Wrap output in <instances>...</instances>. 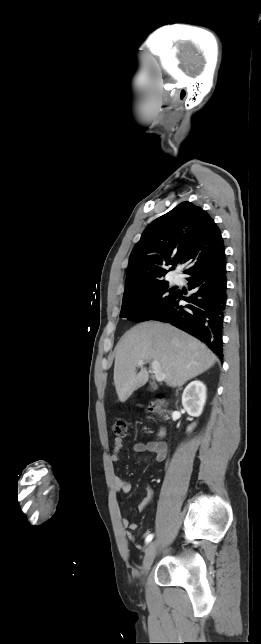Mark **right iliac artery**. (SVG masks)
I'll list each match as a JSON object with an SVG mask.
<instances>
[{
	"label": "right iliac artery",
	"instance_id": "right-iliac-artery-1",
	"mask_svg": "<svg viewBox=\"0 0 261 644\" xmlns=\"http://www.w3.org/2000/svg\"><path fill=\"white\" fill-rule=\"evenodd\" d=\"M153 537H154L153 534L148 535L147 538L145 539V542L148 544L153 539Z\"/></svg>",
	"mask_w": 261,
	"mask_h": 644
}]
</instances>
